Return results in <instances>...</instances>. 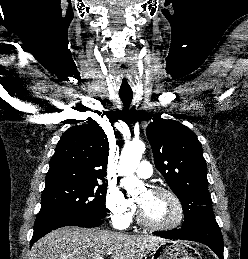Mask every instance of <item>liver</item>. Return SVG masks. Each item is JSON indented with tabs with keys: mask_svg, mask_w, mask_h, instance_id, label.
<instances>
[{
	"mask_svg": "<svg viewBox=\"0 0 248 259\" xmlns=\"http://www.w3.org/2000/svg\"><path fill=\"white\" fill-rule=\"evenodd\" d=\"M167 240L152 235H128L101 229L66 226L52 231L32 247L30 259H142Z\"/></svg>",
	"mask_w": 248,
	"mask_h": 259,
	"instance_id": "1",
	"label": "liver"
}]
</instances>
